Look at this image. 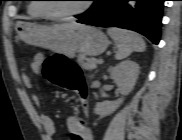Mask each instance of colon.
I'll use <instances>...</instances> for the list:
<instances>
[{"mask_svg": "<svg viewBox=\"0 0 182 140\" xmlns=\"http://www.w3.org/2000/svg\"><path fill=\"white\" fill-rule=\"evenodd\" d=\"M43 72L51 82L73 92L84 113L88 110L87 85L80 67L72 60L65 57H54L43 64ZM84 125L83 121H80ZM72 140H81L79 134L72 135Z\"/></svg>", "mask_w": 182, "mask_h": 140, "instance_id": "obj_1", "label": "colon"}]
</instances>
